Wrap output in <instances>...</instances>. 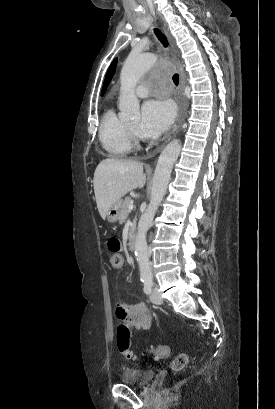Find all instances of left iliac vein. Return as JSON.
<instances>
[{"label": "left iliac vein", "mask_w": 275, "mask_h": 409, "mask_svg": "<svg viewBox=\"0 0 275 409\" xmlns=\"http://www.w3.org/2000/svg\"><path fill=\"white\" fill-rule=\"evenodd\" d=\"M149 300L154 303V304H162L163 302V298L161 297L159 291L157 290V288H153L152 292L149 296Z\"/></svg>", "instance_id": "4c4485c4"}]
</instances>
